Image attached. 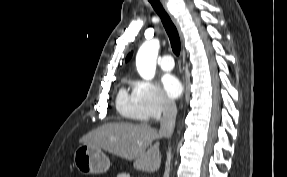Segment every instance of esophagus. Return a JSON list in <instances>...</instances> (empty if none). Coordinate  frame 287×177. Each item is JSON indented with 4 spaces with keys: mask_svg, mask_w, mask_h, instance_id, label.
<instances>
[{
    "mask_svg": "<svg viewBox=\"0 0 287 177\" xmlns=\"http://www.w3.org/2000/svg\"><path fill=\"white\" fill-rule=\"evenodd\" d=\"M160 3L162 4L164 10L167 12V14L169 15V17L171 18L172 22L174 23V25L177 27V29L179 30V33L181 35V39L183 40V37H182V34H181V31H180V27H179V24L176 20V18L172 15V13L169 11L168 7H167V0H160ZM181 56H182V62H183V65L185 63V48L184 46L182 47V52H181ZM183 70H184V66H183Z\"/></svg>",
    "mask_w": 287,
    "mask_h": 177,
    "instance_id": "1",
    "label": "esophagus"
}]
</instances>
